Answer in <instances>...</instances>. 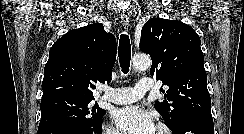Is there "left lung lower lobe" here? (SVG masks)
Instances as JSON below:
<instances>
[{"mask_svg":"<svg viewBox=\"0 0 244 134\" xmlns=\"http://www.w3.org/2000/svg\"><path fill=\"white\" fill-rule=\"evenodd\" d=\"M170 130L173 134H214V124L210 117L186 115Z\"/></svg>","mask_w":244,"mask_h":134,"instance_id":"left-lung-lower-lobe-1","label":"left lung lower lobe"}]
</instances>
